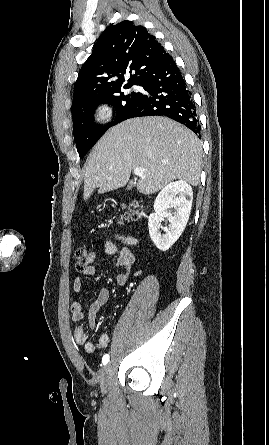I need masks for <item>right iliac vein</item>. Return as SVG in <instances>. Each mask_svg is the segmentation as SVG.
Instances as JSON below:
<instances>
[{
    "label": "right iliac vein",
    "mask_w": 269,
    "mask_h": 445,
    "mask_svg": "<svg viewBox=\"0 0 269 445\" xmlns=\"http://www.w3.org/2000/svg\"><path fill=\"white\" fill-rule=\"evenodd\" d=\"M111 375H112V368L111 365L108 364L107 366H105L101 374L100 388L102 393H106L108 391L111 381Z\"/></svg>",
    "instance_id": "right-iliac-vein-1"
}]
</instances>
